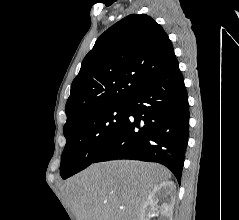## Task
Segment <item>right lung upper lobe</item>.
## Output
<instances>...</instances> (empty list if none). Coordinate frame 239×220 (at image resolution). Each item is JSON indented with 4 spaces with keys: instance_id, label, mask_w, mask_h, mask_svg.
I'll return each instance as SVG.
<instances>
[{
    "instance_id": "1",
    "label": "right lung upper lobe",
    "mask_w": 239,
    "mask_h": 220,
    "mask_svg": "<svg viewBox=\"0 0 239 220\" xmlns=\"http://www.w3.org/2000/svg\"><path fill=\"white\" fill-rule=\"evenodd\" d=\"M175 61L171 41L156 21L145 14L123 18L84 58L71 85L64 128L92 111L126 103Z\"/></svg>"
}]
</instances>
